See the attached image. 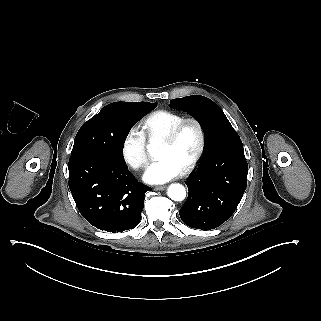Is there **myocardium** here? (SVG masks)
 <instances>
[{
    "instance_id": "obj_1",
    "label": "myocardium",
    "mask_w": 321,
    "mask_h": 321,
    "mask_svg": "<svg viewBox=\"0 0 321 321\" xmlns=\"http://www.w3.org/2000/svg\"><path fill=\"white\" fill-rule=\"evenodd\" d=\"M190 123L194 124L197 127L199 134V143L196 153L183 170L184 174L192 172L197 167L204 155L206 148V132L203 123L196 117H187L177 123L169 132L161 136L163 140L169 143H174L179 138L183 128Z\"/></svg>"
}]
</instances>
